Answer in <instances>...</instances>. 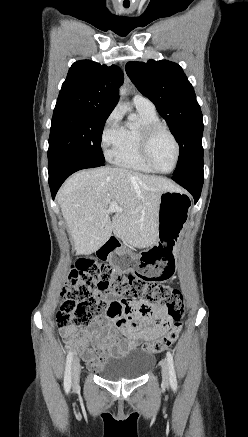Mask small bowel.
<instances>
[{
    "label": "small bowel",
    "mask_w": 248,
    "mask_h": 437,
    "mask_svg": "<svg viewBox=\"0 0 248 437\" xmlns=\"http://www.w3.org/2000/svg\"><path fill=\"white\" fill-rule=\"evenodd\" d=\"M95 296L108 305L101 316L86 330L76 327L60 329L63 340L75 347L93 370L102 368L109 357L120 356L166 333V307L129 299V294L104 293ZM119 335H123L121 339Z\"/></svg>",
    "instance_id": "obj_1"
}]
</instances>
